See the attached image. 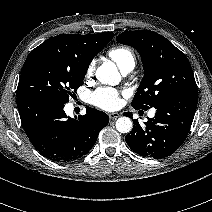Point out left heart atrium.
Returning <instances> with one entry per match:
<instances>
[{
    "label": "left heart atrium",
    "mask_w": 212,
    "mask_h": 212,
    "mask_svg": "<svg viewBox=\"0 0 212 212\" xmlns=\"http://www.w3.org/2000/svg\"><path fill=\"white\" fill-rule=\"evenodd\" d=\"M90 101L101 109L114 110L120 105V93L113 88H99L91 94Z\"/></svg>",
    "instance_id": "left-heart-atrium-1"
}]
</instances>
